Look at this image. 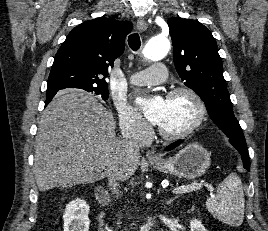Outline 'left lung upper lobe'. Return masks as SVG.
Wrapping results in <instances>:
<instances>
[{
	"mask_svg": "<svg viewBox=\"0 0 268 231\" xmlns=\"http://www.w3.org/2000/svg\"><path fill=\"white\" fill-rule=\"evenodd\" d=\"M173 43L176 71L185 85L204 101L213 122L236 149H247L242 129L234 116L223 77L222 61L214 37L196 20H167Z\"/></svg>",
	"mask_w": 268,
	"mask_h": 231,
	"instance_id": "left-lung-upper-lobe-1",
	"label": "left lung upper lobe"
}]
</instances>
